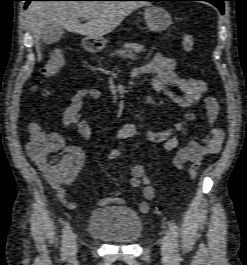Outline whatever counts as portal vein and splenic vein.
I'll list each match as a JSON object with an SVG mask.
<instances>
[{
  "label": "portal vein and splenic vein",
  "instance_id": "portal-vein-and-splenic-vein-1",
  "mask_svg": "<svg viewBox=\"0 0 247 265\" xmlns=\"http://www.w3.org/2000/svg\"><path fill=\"white\" fill-rule=\"evenodd\" d=\"M82 19L83 20H88L89 19V16H83Z\"/></svg>",
  "mask_w": 247,
  "mask_h": 265
}]
</instances>
